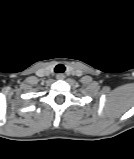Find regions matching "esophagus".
<instances>
[{"instance_id":"esophagus-1","label":"esophagus","mask_w":134,"mask_h":159,"mask_svg":"<svg viewBox=\"0 0 134 159\" xmlns=\"http://www.w3.org/2000/svg\"><path fill=\"white\" fill-rule=\"evenodd\" d=\"M56 78H57L58 80H63V79L65 78V75H64L63 73H58V74L56 75Z\"/></svg>"}]
</instances>
